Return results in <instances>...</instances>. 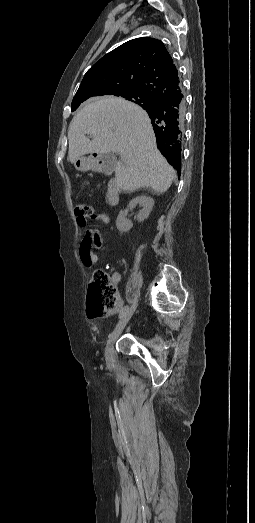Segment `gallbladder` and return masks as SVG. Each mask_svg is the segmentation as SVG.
I'll list each match as a JSON object with an SVG mask.
<instances>
[{
  "label": "gallbladder",
  "mask_w": 255,
  "mask_h": 523,
  "mask_svg": "<svg viewBox=\"0 0 255 523\" xmlns=\"http://www.w3.org/2000/svg\"><path fill=\"white\" fill-rule=\"evenodd\" d=\"M101 158L105 164H113L115 162V158L111 154H102Z\"/></svg>",
  "instance_id": "1"
}]
</instances>
